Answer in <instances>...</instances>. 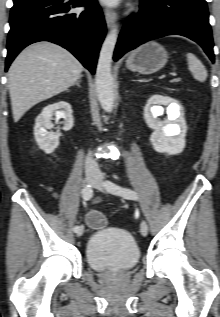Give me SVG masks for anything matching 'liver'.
<instances>
[{
    "instance_id": "1",
    "label": "liver",
    "mask_w": 220,
    "mask_h": 317,
    "mask_svg": "<svg viewBox=\"0 0 220 317\" xmlns=\"http://www.w3.org/2000/svg\"><path fill=\"white\" fill-rule=\"evenodd\" d=\"M82 71V64L54 43L38 42L24 49L8 71L14 122L37 103L67 90Z\"/></svg>"
}]
</instances>
